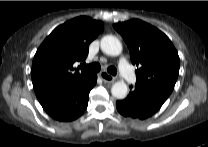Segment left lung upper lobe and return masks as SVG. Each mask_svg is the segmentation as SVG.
Segmentation results:
<instances>
[{
  "label": "left lung upper lobe",
  "mask_w": 208,
  "mask_h": 147,
  "mask_svg": "<svg viewBox=\"0 0 208 147\" xmlns=\"http://www.w3.org/2000/svg\"><path fill=\"white\" fill-rule=\"evenodd\" d=\"M128 45L136 70L137 86L153 89L168 97L180 67L178 53L169 38L156 27L139 19L113 26Z\"/></svg>",
  "instance_id": "left-lung-upper-lobe-1"
}]
</instances>
